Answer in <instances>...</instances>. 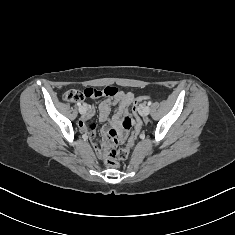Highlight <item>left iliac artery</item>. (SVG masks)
<instances>
[{"instance_id": "left-iliac-artery-1", "label": "left iliac artery", "mask_w": 235, "mask_h": 235, "mask_svg": "<svg viewBox=\"0 0 235 235\" xmlns=\"http://www.w3.org/2000/svg\"><path fill=\"white\" fill-rule=\"evenodd\" d=\"M151 104H152V102H151V101H149V102H148V106H150Z\"/></svg>"}]
</instances>
